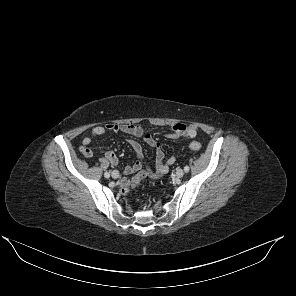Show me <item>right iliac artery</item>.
<instances>
[{"mask_svg": "<svg viewBox=\"0 0 296 296\" xmlns=\"http://www.w3.org/2000/svg\"><path fill=\"white\" fill-rule=\"evenodd\" d=\"M104 176H105L106 178H109V177H110V173L105 172V173H104Z\"/></svg>", "mask_w": 296, "mask_h": 296, "instance_id": "obj_1", "label": "right iliac artery"}]
</instances>
